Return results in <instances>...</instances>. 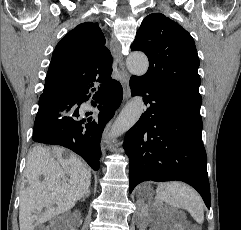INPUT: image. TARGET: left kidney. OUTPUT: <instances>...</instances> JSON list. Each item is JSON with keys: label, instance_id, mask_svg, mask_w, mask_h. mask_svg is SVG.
<instances>
[{"label": "left kidney", "instance_id": "5707ae66", "mask_svg": "<svg viewBox=\"0 0 241 230\" xmlns=\"http://www.w3.org/2000/svg\"><path fill=\"white\" fill-rule=\"evenodd\" d=\"M153 221V217H151L150 215H148L147 219H146V223L147 224H151V222ZM172 226L170 225H152V228L150 230H172Z\"/></svg>", "mask_w": 241, "mask_h": 230}]
</instances>
